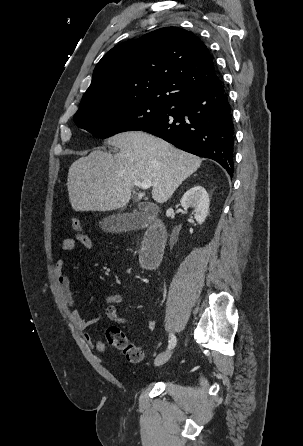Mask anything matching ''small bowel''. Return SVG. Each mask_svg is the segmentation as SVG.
Masks as SVG:
<instances>
[{"mask_svg": "<svg viewBox=\"0 0 303 446\" xmlns=\"http://www.w3.org/2000/svg\"><path fill=\"white\" fill-rule=\"evenodd\" d=\"M80 243L86 251H92L94 248V242L88 235L75 234L73 236L65 238L61 243V248L64 251H71L75 248L76 244ZM55 273L57 278V283L62 292L65 303L70 310V318L75 325V327L81 331H84V339L88 346L97 350L98 352H103L105 350V344L97 338H94L90 333L85 332V330L98 322L102 315H105L109 320L116 322L118 324L129 325L131 320L120 314L117 304L122 303L125 298L122 294H111L105 298L104 309L92 319L86 320L82 317L79 310L75 308V301L70 287V281L67 273L65 272V263L63 260H58L55 264ZM156 326L155 321L151 320L148 322V328L153 330Z\"/></svg>", "mask_w": 303, "mask_h": 446, "instance_id": "1", "label": "small bowel"}]
</instances>
